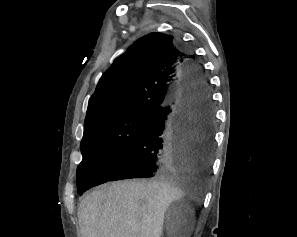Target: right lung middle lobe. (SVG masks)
<instances>
[{
    "label": "right lung middle lobe",
    "instance_id": "right-lung-middle-lobe-1",
    "mask_svg": "<svg viewBox=\"0 0 297 237\" xmlns=\"http://www.w3.org/2000/svg\"><path fill=\"white\" fill-rule=\"evenodd\" d=\"M152 112L139 111L109 117L84 129L82 162L77 167V187L81 195L98 185L127 152L146 127Z\"/></svg>",
    "mask_w": 297,
    "mask_h": 237
}]
</instances>
